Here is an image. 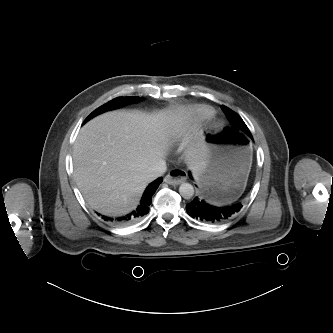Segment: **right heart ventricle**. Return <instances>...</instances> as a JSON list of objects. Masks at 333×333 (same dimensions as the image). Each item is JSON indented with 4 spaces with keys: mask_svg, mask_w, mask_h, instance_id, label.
<instances>
[{
    "mask_svg": "<svg viewBox=\"0 0 333 333\" xmlns=\"http://www.w3.org/2000/svg\"><path fill=\"white\" fill-rule=\"evenodd\" d=\"M180 118L182 120H191L193 117L208 118L213 114V111L202 105L190 106L180 110Z\"/></svg>",
    "mask_w": 333,
    "mask_h": 333,
    "instance_id": "1",
    "label": "right heart ventricle"
}]
</instances>
